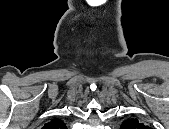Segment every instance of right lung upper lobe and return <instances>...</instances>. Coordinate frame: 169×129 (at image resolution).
<instances>
[{
	"label": "right lung upper lobe",
	"instance_id": "1",
	"mask_svg": "<svg viewBox=\"0 0 169 129\" xmlns=\"http://www.w3.org/2000/svg\"><path fill=\"white\" fill-rule=\"evenodd\" d=\"M46 129H65V123L62 122L60 119H53L49 123L45 124Z\"/></svg>",
	"mask_w": 169,
	"mask_h": 129
}]
</instances>
